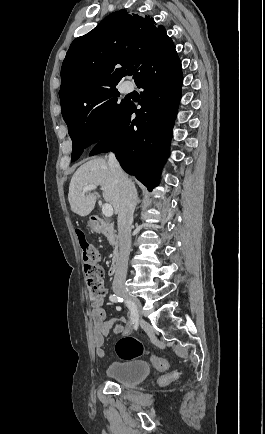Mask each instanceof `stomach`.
<instances>
[{"instance_id":"0dacf381","label":"stomach","mask_w":265,"mask_h":434,"mask_svg":"<svg viewBox=\"0 0 265 434\" xmlns=\"http://www.w3.org/2000/svg\"><path fill=\"white\" fill-rule=\"evenodd\" d=\"M90 229H93V226H90Z\"/></svg>"}]
</instances>
